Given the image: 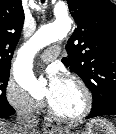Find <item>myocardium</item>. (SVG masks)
Instances as JSON below:
<instances>
[{"label": "myocardium", "mask_w": 116, "mask_h": 134, "mask_svg": "<svg viewBox=\"0 0 116 134\" xmlns=\"http://www.w3.org/2000/svg\"><path fill=\"white\" fill-rule=\"evenodd\" d=\"M65 82L70 83L74 85L81 93L83 97V107L81 111L73 116H66L59 112H57L49 103L48 104V112L50 115L55 118L58 121L64 122V123H77L85 119L92 109V95L88 87L78 78L73 76H68L64 79Z\"/></svg>", "instance_id": "myocardium-1"}]
</instances>
